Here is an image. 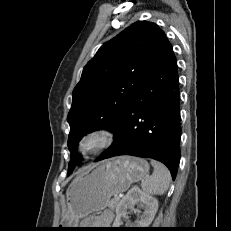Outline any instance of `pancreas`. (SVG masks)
Segmentation results:
<instances>
[{"label": "pancreas", "instance_id": "pancreas-1", "mask_svg": "<svg viewBox=\"0 0 231 231\" xmlns=\"http://www.w3.org/2000/svg\"><path fill=\"white\" fill-rule=\"evenodd\" d=\"M118 203H119V199L113 198L109 201L108 206L109 208L114 209L117 207Z\"/></svg>", "mask_w": 231, "mask_h": 231}]
</instances>
